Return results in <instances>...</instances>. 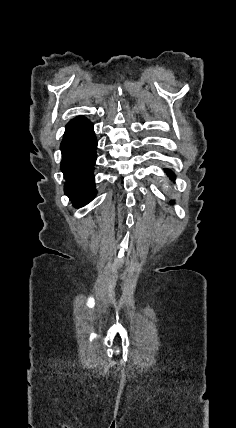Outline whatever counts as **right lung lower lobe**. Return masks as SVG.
Returning <instances> with one entry per match:
<instances>
[{
  "label": "right lung lower lobe",
  "mask_w": 236,
  "mask_h": 428,
  "mask_svg": "<svg viewBox=\"0 0 236 428\" xmlns=\"http://www.w3.org/2000/svg\"><path fill=\"white\" fill-rule=\"evenodd\" d=\"M97 141L92 123L76 117L66 125L61 143V170L66 183L64 191L75 207L89 203L96 195L93 175Z\"/></svg>",
  "instance_id": "98d812e1"
}]
</instances>
